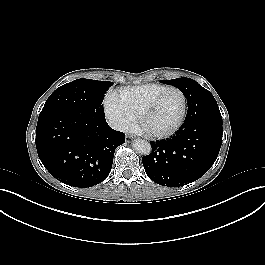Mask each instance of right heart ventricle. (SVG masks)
<instances>
[{"label":"right heart ventricle","mask_w":265,"mask_h":265,"mask_svg":"<svg viewBox=\"0 0 265 265\" xmlns=\"http://www.w3.org/2000/svg\"><path fill=\"white\" fill-rule=\"evenodd\" d=\"M166 87L161 84L149 83L131 88H122L118 93L125 105L132 111L136 118H139L149 102Z\"/></svg>","instance_id":"right-heart-ventricle-1"}]
</instances>
